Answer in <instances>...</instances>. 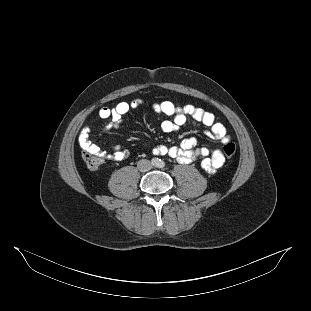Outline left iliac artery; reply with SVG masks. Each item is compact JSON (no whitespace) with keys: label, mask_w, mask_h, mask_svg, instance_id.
Instances as JSON below:
<instances>
[{"label":"left iliac artery","mask_w":311,"mask_h":311,"mask_svg":"<svg viewBox=\"0 0 311 311\" xmlns=\"http://www.w3.org/2000/svg\"><path fill=\"white\" fill-rule=\"evenodd\" d=\"M164 166H165V163H164L163 161H160V162H159V167H160V168H163Z\"/></svg>","instance_id":"1"}]
</instances>
